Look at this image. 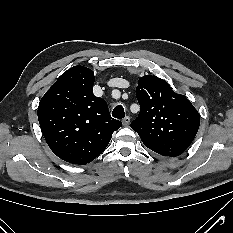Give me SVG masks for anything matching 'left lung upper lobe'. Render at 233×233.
I'll return each mask as SVG.
<instances>
[{
    "label": "left lung upper lobe",
    "mask_w": 233,
    "mask_h": 233,
    "mask_svg": "<svg viewBox=\"0 0 233 233\" xmlns=\"http://www.w3.org/2000/svg\"><path fill=\"white\" fill-rule=\"evenodd\" d=\"M136 96L140 113L131 127L143 144L166 157L183 153L195 138L200 116L186 98L156 76L139 79Z\"/></svg>",
    "instance_id": "left-lung-upper-lobe-1"
}]
</instances>
